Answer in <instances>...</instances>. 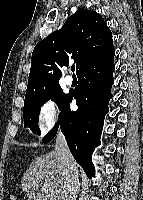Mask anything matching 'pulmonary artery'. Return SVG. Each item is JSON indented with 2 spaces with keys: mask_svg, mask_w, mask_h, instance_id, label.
Returning a JSON list of instances; mask_svg holds the SVG:
<instances>
[{
  "mask_svg": "<svg viewBox=\"0 0 143 200\" xmlns=\"http://www.w3.org/2000/svg\"><path fill=\"white\" fill-rule=\"evenodd\" d=\"M65 83H66L67 85H71V84L73 83L72 77H71V76H66V77H65Z\"/></svg>",
  "mask_w": 143,
  "mask_h": 200,
  "instance_id": "obj_1",
  "label": "pulmonary artery"
}]
</instances>
